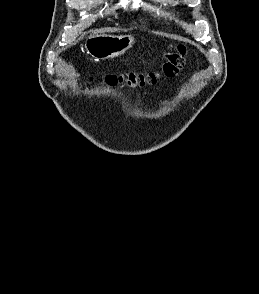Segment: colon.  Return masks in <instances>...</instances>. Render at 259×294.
<instances>
[{
	"mask_svg": "<svg viewBox=\"0 0 259 294\" xmlns=\"http://www.w3.org/2000/svg\"><path fill=\"white\" fill-rule=\"evenodd\" d=\"M185 47L177 45L170 48L165 54V60L162 65L161 73H149L147 75L129 74V75H109L106 77L107 83L115 85L118 82H125L132 86H143L145 84L155 83L161 74L172 77L174 76L184 64Z\"/></svg>",
	"mask_w": 259,
	"mask_h": 294,
	"instance_id": "1",
	"label": "colon"
}]
</instances>
